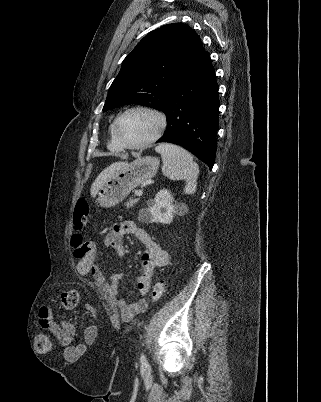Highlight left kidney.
I'll use <instances>...</instances> for the list:
<instances>
[{
	"mask_svg": "<svg viewBox=\"0 0 321 402\" xmlns=\"http://www.w3.org/2000/svg\"><path fill=\"white\" fill-rule=\"evenodd\" d=\"M174 198L167 189L160 190L153 200L148 201V208L139 211V219L148 223L170 224L175 213Z\"/></svg>",
	"mask_w": 321,
	"mask_h": 402,
	"instance_id": "5707ae66",
	"label": "left kidney"
}]
</instances>
